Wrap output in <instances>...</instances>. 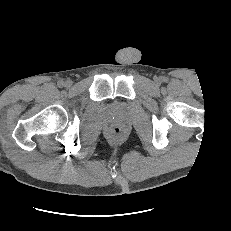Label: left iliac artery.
<instances>
[{
	"label": "left iliac artery",
	"mask_w": 231,
	"mask_h": 231,
	"mask_svg": "<svg viewBox=\"0 0 231 231\" xmlns=\"http://www.w3.org/2000/svg\"><path fill=\"white\" fill-rule=\"evenodd\" d=\"M163 81H167V78H164Z\"/></svg>",
	"instance_id": "left-iliac-artery-1"
}]
</instances>
